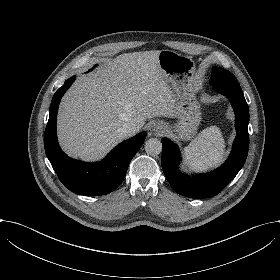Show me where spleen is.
Listing matches in <instances>:
<instances>
[{
	"instance_id": "obj_1",
	"label": "spleen",
	"mask_w": 280,
	"mask_h": 280,
	"mask_svg": "<svg viewBox=\"0 0 280 280\" xmlns=\"http://www.w3.org/2000/svg\"><path fill=\"white\" fill-rule=\"evenodd\" d=\"M183 163L195 173H206L226 159V140L221 128L210 126L197 141L182 150Z\"/></svg>"
}]
</instances>
